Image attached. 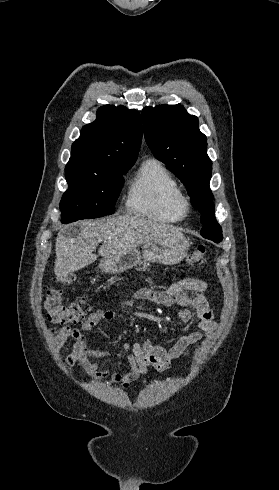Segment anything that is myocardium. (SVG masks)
I'll use <instances>...</instances> for the list:
<instances>
[{
    "label": "myocardium",
    "instance_id": "obj_1",
    "mask_svg": "<svg viewBox=\"0 0 279 490\" xmlns=\"http://www.w3.org/2000/svg\"><path fill=\"white\" fill-rule=\"evenodd\" d=\"M179 209L183 215H186L190 209V202L185 196L181 199L179 203Z\"/></svg>",
    "mask_w": 279,
    "mask_h": 490
}]
</instances>
